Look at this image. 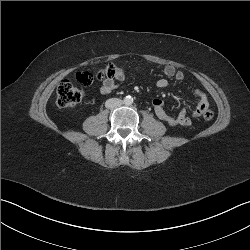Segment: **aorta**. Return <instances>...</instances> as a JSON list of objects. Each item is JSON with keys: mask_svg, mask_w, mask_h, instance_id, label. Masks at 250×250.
Returning <instances> with one entry per match:
<instances>
[{"mask_svg": "<svg viewBox=\"0 0 250 250\" xmlns=\"http://www.w3.org/2000/svg\"><path fill=\"white\" fill-rule=\"evenodd\" d=\"M123 103L125 105L129 106L133 103V98L131 96H126L123 100Z\"/></svg>", "mask_w": 250, "mask_h": 250, "instance_id": "obj_1", "label": "aorta"}]
</instances>
